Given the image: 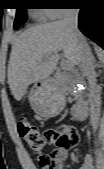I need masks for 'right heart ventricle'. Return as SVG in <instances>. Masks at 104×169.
<instances>
[{"label":"right heart ventricle","mask_w":104,"mask_h":169,"mask_svg":"<svg viewBox=\"0 0 104 169\" xmlns=\"http://www.w3.org/2000/svg\"><path fill=\"white\" fill-rule=\"evenodd\" d=\"M45 13H46V11L44 10V11H41V14L44 16L45 15Z\"/></svg>","instance_id":"obj_1"}]
</instances>
